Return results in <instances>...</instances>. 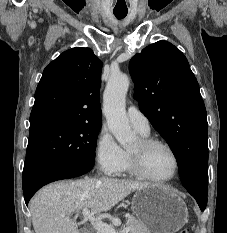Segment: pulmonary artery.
<instances>
[{
    "label": "pulmonary artery",
    "instance_id": "e3ab8cb5",
    "mask_svg": "<svg viewBox=\"0 0 227 233\" xmlns=\"http://www.w3.org/2000/svg\"><path fill=\"white\" fill-rule=\"evenodd\" d=\"M127 116L131 125L140 133L149 134L150 125L148 118L135 106H129Z\"/></svg>",
    "mask_w": 227,
    "mask_h": 233
}]
</instances>
